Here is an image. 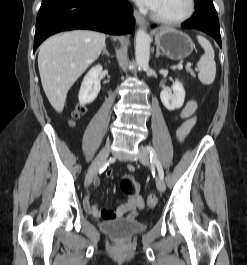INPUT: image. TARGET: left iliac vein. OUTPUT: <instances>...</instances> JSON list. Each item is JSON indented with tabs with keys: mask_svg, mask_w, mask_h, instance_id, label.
I'll use <instances>...</instances> for the list:
<instances>
[{
	"mask_svg": "<svg viewBox=\"0 0 247 265\" xmlns=\"http://www.w3.org/2000/svg\"><path fill=\"white\" fill-rule=\"evenodd\" d=\"M138 157H139V161L145 165V166H148L149 165V154L147 152L146 149L140 147V151H139V154H138ZM157 188L160 192H164L165 191V183L163 181V179L159 178L157 180Z\"/></svg>",
	"mask_w": 247,
	"mask_h": 265,
	"instance_id": "obj_1",
	"label": "left iliac vein"
}]
</instances>
